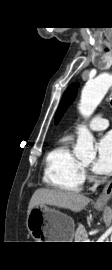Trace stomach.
<instances>
[{
    "instance_id": "0dacf381",
    "label": "stomach",
    "mask_w": 112,
    "mask_h": 270,
    "mask_svg": "<svg viewBox=\"0 0 112 270\" xmlns=\"http://www.w3.org/2000/svg\"><path fill=\"white\" fill-rule=\"evenodd\" d=\"M103 207L96 206L97 210ZM27 229L36 242H72L74 236L73 219L46 205L31 209L26 220Z\"/></svg>"
}]
</instances>
